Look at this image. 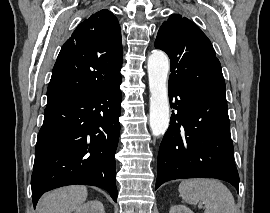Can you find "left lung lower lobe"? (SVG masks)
<instances>
[{
	"label": "left lung lower lobe",
	"instance_id": "0a47b994",
	"mask_svg": "<svg viewBox=\"0 0 270 213\" xmlns=\"http://www.w3.org/2000/svg\"><path fill=\"white\" fill-rule=\"evenodd\" d=\"M173 98L177 114L160 145L155 190L169 180L197 177L221 179L238 190L227 102L169 86L170 103Z\"/></svg>",
	"mask_w": 270,
	"mask_h": 213
}]
</instances>
